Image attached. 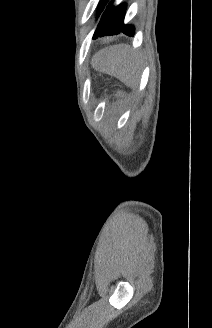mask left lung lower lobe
Segmentation results:
<instances>
[{
    "label": "left lung lower lobe",
    "mask_w": 212,
    "mask_h": 328,
    "mask_svg": "<svg viewBox=\"0 0 212 328\" xmlns=\"http://www.w3.org/2000/svg\"><path fill=\"white\" fill-rule=\"evenodd\" d=\"M111 1L102 14L97 25L93 39L107 35H117L120 32L128 36H134V26L124 24L126 5L113 6ZM107 4V3H106Z\"/></svg>",
    "instance_id": "1"
}]
</instances>
